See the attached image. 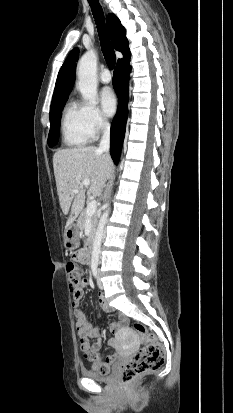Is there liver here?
Returning a JSON list of instances; mask_svg holds the SVG:
<instances>
[{
	"label": "liver",
	"instance_id": "1",
	"mask_svg": "<svg viewBox=\"0 0 233 413\" xmlns=\"http://www.w3.org/2000/svg\"><path fill=\"white\" fill-rule=\"evenodd\" d=\"M109 155L95 146L58 150L53 156V168L62 212L67 215L65 230L75 221L85 203V189L79 188L83 180H90L88 196H99L112 170ZM78 192H74L75 189Z\"/></svg>",
	"mask_w": 233,
	"mask_h": 413
}]
</instances>
